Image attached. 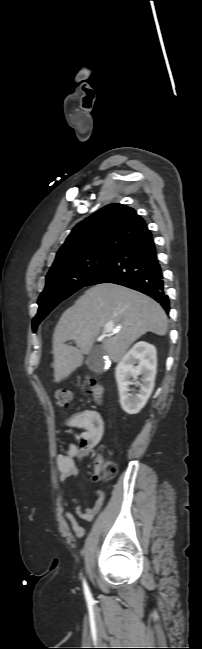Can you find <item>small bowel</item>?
Masks as SVG:
<instances>
[{"instance_id": "c3829d8e", "label": "small bowel", "mask_w": 202, "mask_h": 649, "mask_svg": "<svg viewBox=\"0 0 202 649\" xmlns=\"http://www.w3.org/2000/svg\"><path fill=\"white\" fill-rule=\"evenodd\" d=\"M62 428L74 437L67 444L65 452L57 459L59 479L62 483H66L78 475L77 461L89 456L102 440L105 433V423L97 412L84 410L73 414L62 425ZM91 479L94 483H99L102 479L101 471L96 466ZM65 495L66 492L62 491V496ZM96 495L97 499L85 508L80 505L78 499L74 496L71 497L69 502L64 501L66 507H68L69 503L75 505L74 513L66 511L64 516L70 522L71 528L78 538L84 536L85 530L79 525L76 518L90 522L103 505L104 493L97 490Z\"/></svg>"}]
</instances>
